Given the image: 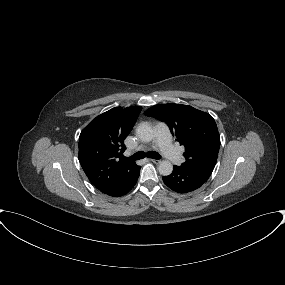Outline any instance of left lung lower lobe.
Masks as SVG:
<instances>
[{"mask_svg":"<svg viewBox=\"0 0 285 285\" xmlns=\"http://www.w3.org/2000/svg\"><path fill=\"white\" fill-rule=\"evenodd\" d=\"M214 167L194 166L184 167L175 166L169 176L163 177L166 186L178 193H188L201 187L210 177Z\"/></svg>","mask_w":285,"mask_h":285,"instance_id":"left-lung-lower-lobe-1","label":"left lung lower lobe"}]
</instances>
